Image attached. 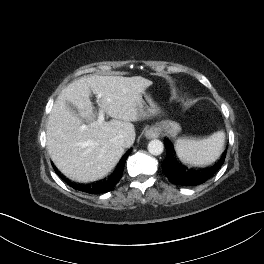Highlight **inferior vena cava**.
<instances>
[{
    "mask_svg": "<svg viewBox=\"0 0 264 264\" xmlns=\"http://www.w3.org/2000/svg\"><path fill=\"white\" fill-rule=\"evenodd\" d=\"M113 141L118 142L119 144L126 146V139L123 136H117L113 139Z\"/></svg>",
    "mask_w": 264,
    "mask_h": 264,
    "instance_id": "1",
    "label": "inferior vena cava"
}]
</instances>
